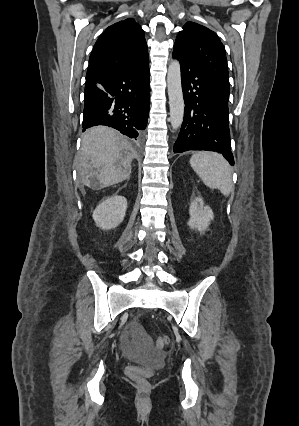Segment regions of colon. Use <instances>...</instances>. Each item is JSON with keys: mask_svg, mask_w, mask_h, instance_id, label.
<instances>
[{"mask_svg": "<svg viewBox=\"0 0 299 426\" xmlns=\"http://www.w3.org/2000/svg\"><path fill=\"white\" fill-rule=\"evenodd\" d=\"M137 332L140 335H144V329L142 327L137 328ZM168 344V339L165 336H159L155 338L154 345L158 349H163ZM126 373L129 378L137 382L141 386H146L147 378L152 376V370L141 366H129L126 369Z\"/></svg>", "mask_w": 299, "mask_h": 426, "instance_id": "colon-1", "label": "colon"}]
</instances>
